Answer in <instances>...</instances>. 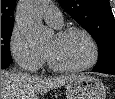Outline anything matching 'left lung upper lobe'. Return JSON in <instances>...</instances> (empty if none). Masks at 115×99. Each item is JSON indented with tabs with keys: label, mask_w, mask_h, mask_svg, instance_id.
<instances>
[{
	"label": "left lung upper lobe",
	"mask_w": 115,
	"mask_h": 99,
	"mask_svg": "<svg viewBox=\"0 0 115 99\" xmlns=\"http://www.w3.org/2000/svg\"><path fill=\"white\" fill-rule=\"evenodd\" d=\"M61 6L94 38L99 49L94 69L115 67V21L108 0H59Z\"/></svg>",
	"instance_id": "obj_1"
}]
</instances>
